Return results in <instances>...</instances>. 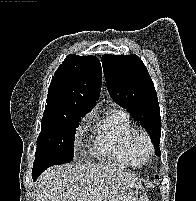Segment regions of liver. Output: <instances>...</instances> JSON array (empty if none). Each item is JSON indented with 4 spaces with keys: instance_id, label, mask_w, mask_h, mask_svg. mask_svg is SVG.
<instances>
[{
    "instance_id": "6515ba94",
    "label": "liver",
    "mask_w": 196,
    "mask_h": 201,
    "mask_svg": "<svg viewBox=\"0 0 196 201\" xmlns=\"http://www.w3.org/2000/svg\"><path fill=\"white\" fill-rule=\"evenodd\" d=\"M141 183L113 164H74L53 166L35 183L36 201H121L127 189Z\"/></svg>"
}]
</instances>
